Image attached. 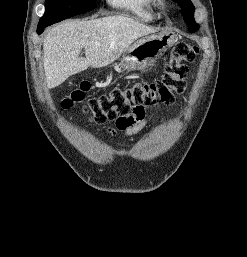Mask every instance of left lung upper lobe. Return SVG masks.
I'll use <instances>...</instances> for the list:
<instances>
[{"mask_svg":"<svg viewBox=\"0 0 247 257\" xmlns=\"http://www.w3.org/2000/svg\"><path fill=\"white\" fill-rule=\"evenodd\" d=\"M181 7L184 21L189 27L190 32H195L199 29V25L194 20L195 7L190 0H173Z\"/></svg>","mask_w":247,"mask_h":257,"instance_id":"1","label":"left lung upper lobe"}]
</instances>
